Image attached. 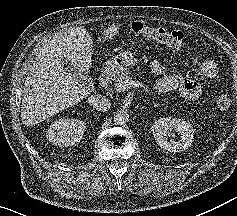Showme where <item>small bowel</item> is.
I'll return each mask as SVG.
<instances>
[{
	"mask_svg": "<svg viewBox=\"0 0 237 216\" xmlns=\"http://www.w3.org/2000/svg\"><path fill=\"white\" fill-rule=\"evenodd\" d=\"M193 63L205 77L212 78L218 73V67L212 60H201L194 57ZM150 68L153 73L160 76L156 82V89L158 91L168 92L171 90H178L184 97L189 99H196L201 95L202 87L199 82L185 78L179 73L168 74L164 65L160 61H152Z\"/></svg>",
	"mask_w": 237,
	"mask_h": 216,
	"instance_id": "c3829d8e",
	"label": "small bowel"
}]
</instances>
